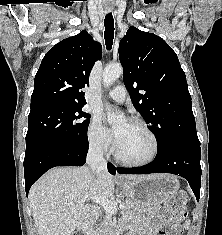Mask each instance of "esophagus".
<instances>
[{
	"instance_id": "1",
	"label": "esophagus",
	"mask_w": 222,
	"mask_h": 235,
	"mask_svg": "<svg viewBox=\"0 0 222 235\" xmlns=\"http://www.w3.org/2000/svg\"><path fill=\"white\" fill-rule=\"evenodd\" d=\"M117 179H118V180H121V178H120L119 176H117Z\"/></svg>"
}]
</instances>
